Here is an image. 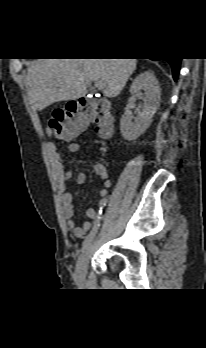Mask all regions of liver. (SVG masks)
<instances>
[{"instance_id": "1", "label": "liver", "mask_w": 206, "mask_h": 348, "mask_svg": "<svg viewBox=\"0 0 206 348\" xmlns=\"http://www.w3.org/2000/svg\"><path fill=\"white\" fill-rule=\"evenodd\" d=\"M136 63V59H38L27 73L31 102L41 111L55 102L77 100L93 81L103 82L104 96L116 97Z\"/></svg>"}]
</instances>
